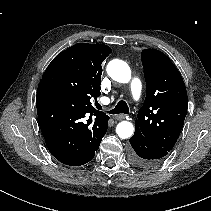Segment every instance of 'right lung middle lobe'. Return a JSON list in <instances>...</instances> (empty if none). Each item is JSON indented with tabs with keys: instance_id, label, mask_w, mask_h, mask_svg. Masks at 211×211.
<instances>
[{
	"instance_id": "right-lung-middle-lobe-1",
	"label": "right lung middle lobe",
	"mask_w": 211,
	"mask_h": 211,
	"mask_svg": "<svg viewBox=\"0 0 211 211\" xmlns=\"http://www.w3.org/2000/svg\"><path fill=\"white\" fill-rule=\"evenodd\" d=\"M47 82L52 88H55V89H58V90H61V91H64L66 93L71 94V92L68 89L60 86V84H59L60 81H59V78L57 76L51 77L50 79H48Z\"/></svg>"
}]
</instances>
